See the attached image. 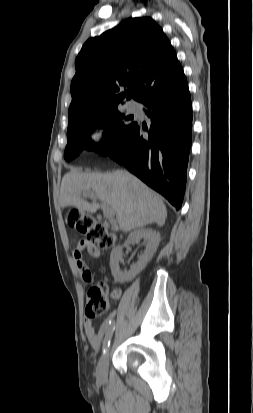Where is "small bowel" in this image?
Instances as JSON below:
<instances>
[{"label":"small bowel","mask_w":253,"mask_h":413,"mask_svg":"<svg viewBox=\"0 0 253 413\" xmlns=\"http://www.w3.org/2000/svg\"><path fill=\"white\" fill-rule=\"evenodd\" d=\"M84 250H87V252L94 258H99L101 253L97 246L87 242L86 240L80 241L73 252V259L77 270L81 274L84 281L90 282L92 279V275L83 259ZM115 319L116 312L113 311L102 322L98 330H96L91 318L86 317L84 319V331L91 347L94 350H98L101 347L103 338L106 336L108 331L115 325Z\"/></svg>","instance_id":"c3829d8e"}]
</instances>
